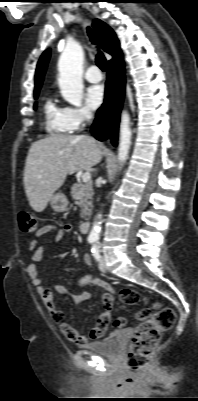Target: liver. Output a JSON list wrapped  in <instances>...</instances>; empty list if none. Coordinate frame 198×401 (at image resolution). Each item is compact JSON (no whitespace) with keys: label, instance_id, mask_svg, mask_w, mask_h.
I'll return each instance as SVG.
<instances>
[{"label":"liver","instance_id":"liver-1","mask_svg":"<svg viewBox=\"0 0 198 401\" xmlns=\"http://www.w3.org/2000/svg\"><path fill=\"white\" fill-rule=\"evenodd\" d=\"M105 148L86 135H51L32 143L26 158L23 183L30 206L42 212L68 174L91 170Z\"/></svg>","mask_w":198,"mask_h":401}]
</instances>
